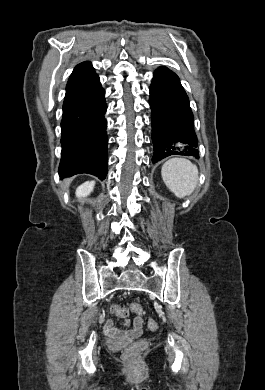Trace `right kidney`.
<instances>
[{"instance_id": "obj_1", "label": "right kidney", "mask_w": 265, "mask_h": 390, "mask_svg": "<svg viewBox=\"0 0 265 390\" xmlns=\"http://www.w3.org/2000/svg\"><path fill=\"white\" fill-rule=\"evenodd\" d=\"M94 185H95L94 181H87L83 183L76 189V196L78 198L88 196L93 191Z\"/></svg>"}]
</instances>
